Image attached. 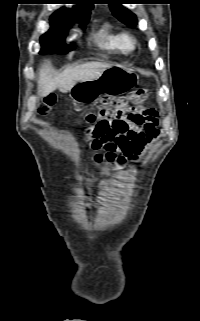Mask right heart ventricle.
Segmentation results:
<instances>
[{"label":"right heart ventricle","instance_id":"right-heart-ventricle-1","mask_svg":"<svg viewBox=\"0 0 200 321\" xmlns=\"http://www.w3.org/2000/svg\"><path fill=\"white\" fill-rule=\"evenodd\" d=\"M94 39L99 47L118 55H128L131 51L128 34L113 28L108 23L98 29Z\"/></svg>","mask_w":200,"mask_h":321}]
</instances>
